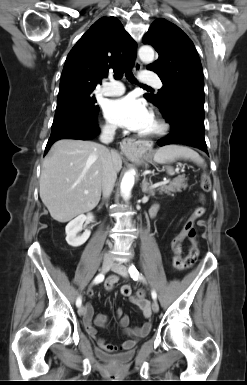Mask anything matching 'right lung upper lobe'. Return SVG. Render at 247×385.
I'll use <instances>...</instances> for the list:
<instances>
[{"instance_id":"cb5924a9","label":"right lung upper lobe","mask_w":247,"mask_h":385,"mask_svg":"<svg viewBox=\"0 0 247 385\" xmlns=\"http://www.w3.org/2000/svg\"><path fill=\"white\" fill-rule=\"evenodd\" d=\"M137 45L115 17L96 21L69 52L59 92L93 90L110 69L132 67Z\"/></svg>"}]
</instances>
